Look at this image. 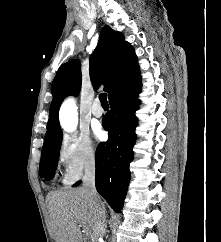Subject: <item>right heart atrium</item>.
<instances>
[{
	"instance_id": "d8ad5b80",
	"label": "right heart atrium",
	"mask_w": 221,
	"mask_h": 242,
	"mask_svg": "<svg viewBox=\"0 0 221 242\" xmlns=\"http://www.w3.org/2000/svg\"><path fill=\"white\" fill-rule=\"evenodd\" d=\"M57 158L64 169V182L72 184L95 168L97 152L88 136L66 134L58 144Z\"/></svg>"
}]
</instances>
